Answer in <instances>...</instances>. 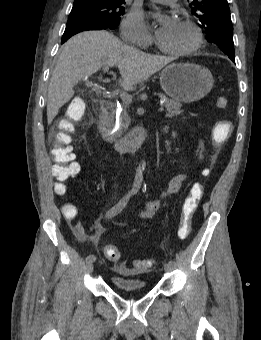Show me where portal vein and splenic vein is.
<instances>
[{
  "instance_id": "obj_1",
  "label": "portal vein and splenic vein",
  "mask_w": 261,
  "mask_h": 340,
  "mask_svg": "<svg viewBox=\"0 0 261 340\" xmlns=\"http://www.w3.org/2000/svg\"><path fill=\"white\" fill-rule=\"evenodd\" d=\"M103 71L104 72H108L109 71V66H104L103 67ZM120 97H121V99H122V101L123 102H125V103H127V104H129V103H131L132 102V96L130 95V94H128V93H121L120 94ZM164 110V108H163V106L161 105L159 108H158V111L159 112H162Z\"/></svg>"
}]
</instances>
